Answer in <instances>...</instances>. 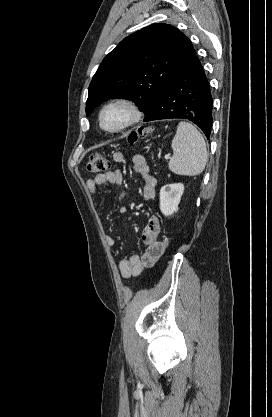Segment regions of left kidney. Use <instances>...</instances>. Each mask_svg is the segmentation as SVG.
I'll return each instance as SVG.
<instances>
[{
  "mask_svg": "<svg viewBox=\"0 0 272 417\" xmlns=\"http://www.w3.org/2000/svg\"><path fill=\"white\" fill-rule=\"evenodd\" d=\"M184 192L181 183L164 185L160 190V210L165 216L178 211V205Z\"/></svg>",
  "mask_w": 272,
  "mask_h": 417,
  "instance_id": "obj_1",
  "label": "left kidney"
}]
</instances>
